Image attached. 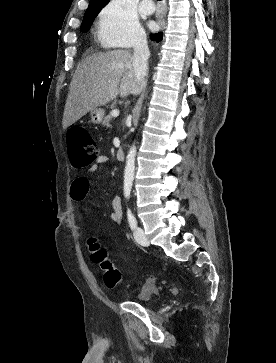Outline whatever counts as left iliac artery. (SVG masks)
<instances>
[{"mask_svg": "<svg viewBox=\"0 0 276 363\" xmlns=\"http://www.w3.org/2000/svg\"><path fill=\"white\" fill-rule=\"evenodd\" d=\"M127 217H128V222H129L131 229H135L137 226V221H136L135 216L133 215V213L131 212V210L129 208L127 210Z\"/></svg>", "mask_w": 276, "mask_h": 363, "instance_id": "44dca946", "label": "left iliac artery"}]
</instances>
